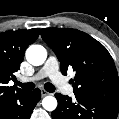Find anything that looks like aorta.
<instances>
[{"instance_id":"aorta-1","label":"aorta","mask_w":119,"mask_h":119,"mask_svg":"<svg viewBox=\"0 0 119 119\" xmlns=\"http://www.w3.org/2000/svg\"><path fill=\"white\" fill-rule=\"evenodd\" d=\"M47 58V51L41 45H31L26 50V59L27 61L34 65L39 66L42 65ZM42 106L47 111H53L57 107V100L53 96H46L42 100Z\"/></svg>"}]
</instances>
